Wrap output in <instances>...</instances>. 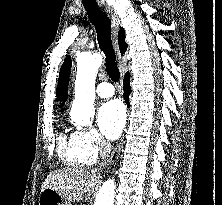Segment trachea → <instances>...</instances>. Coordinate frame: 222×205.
<instances>
[{
  "instance_id": "3493384b",
  "label": "trachea",
  "mask_w": 222,
  "mask_h": 205,
  "mask_svg": "<svg viewBox=\"0 0 222 205\" xmlns=\"http://www.w3.org/2000/svg\"><path fill=\"white\" fill-rule=\"evenodd\" d=\"M92 23L95 26L100 49L105 54L106 72L112 81L118 82L120 72L117 66L116 54L111 40V22L106 14L98 7L84 6Z\"/></svg>"
}]
</instances>
